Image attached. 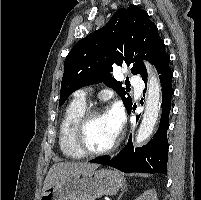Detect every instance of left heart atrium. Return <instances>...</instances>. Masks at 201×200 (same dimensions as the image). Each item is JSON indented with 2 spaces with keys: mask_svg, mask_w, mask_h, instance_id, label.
I'll list each match as a JSON object with an SVG mask.
<instances>
[{
  "mask_svg": "<svg viewBox=\"0 0 201 200\" xmlns=\"http://www.w3.org/2000/svg\"><path fill=\"white\" fill-rule=\"evenodd\" d=\"M106 115L113 127L116 136H118L121 132L124 122V116L121 108L115 105L106 113Z\"/></svg>",
  "mask_w": 201,
  "mask_h": 200,
  "instance_id": "39dd6f15",
  "label": "left heart atrium"
}]
</instances>
